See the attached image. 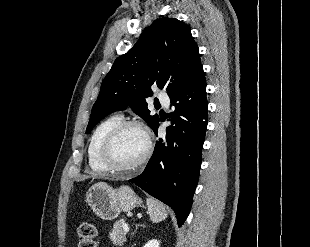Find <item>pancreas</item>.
Listing matches in <instances>:
<instances>
[{
	"label": "pancreas",
	"mask_w": 310,
	"mask_h": 247,
	"mask_svg": "<svg viewBox=\"0 0 310 247\" xmlns=\"http://www.w3.org/2000/svg\"><path fill=\"white\" fill-rule=\"evenodd\" d=\"M124 222L117 221L109 233V238L116 246H121L126 241V232L123 230Z\"/></svg>",
	"instance_id": "1"
}]
</instances>
